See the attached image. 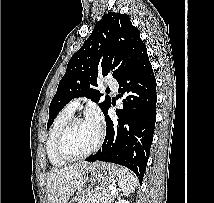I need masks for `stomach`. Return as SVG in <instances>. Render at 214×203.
Instances as JSON below:
<instances>
[{"label": "stomach", "mask_w": 214, "mask_h": 203, "mask_svg": "<svg viewBox=\"0 0 214 203\" xmlns=\"http://www.w3.org/2000/svg\"><path fill=\"white\" fill-rule=\"evenodd\" d=\"M117 171L114 166L106 163L96 162L85 167L82 173V183L75 196L68 203H77L89 196L95 194L93 201L100 203L102 195L115 187Z\"/></svg>", "instance_id": "0dacf381"}]
</instances>
